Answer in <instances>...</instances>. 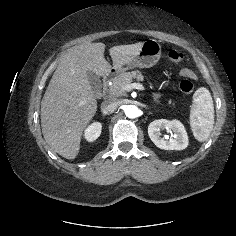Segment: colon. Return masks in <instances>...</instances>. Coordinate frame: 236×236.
<instances>
[{
	"label": "colon",
	"instance_id": "colon-1",
	"mask_svg": "<svg viewBox=\"0 0 236 236\" xmlns=\"http://www.w3.org/2000/svg\"><path fill=\"white\" fill-rule=\"evenodd\" d=\"M168 58L169 61L175 65H180L184 62V55L178 50L169 51ZM179 88L184 94H190L194 89L193 81L190 78H184L181 80Z\"/></svg>",
	"mask_w": 236,
	"mask_h": 236
}]
</instances>
